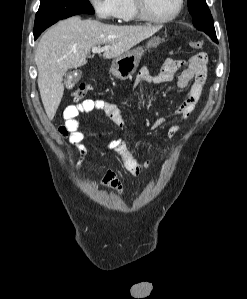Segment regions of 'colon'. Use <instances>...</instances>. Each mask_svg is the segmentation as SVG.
<instances>
[{"instance_id":"1","label":"colon","mask_w":247,"mask_h":299,"mask_svg":"<svg viewBox=\"0 0 247 299\" xmlns=\"http://www.w3.org/2000/svg\"><path fill=\"white\" fill-rule=\"evenodd\" d=\"M189 45L193 49H201L203 47V41L193 40ZM88 90L89 86L85 83H81L72 91L71 95L75 100H80L87 94Z\"/></svg>"}]
</instances>
